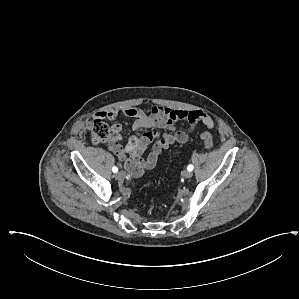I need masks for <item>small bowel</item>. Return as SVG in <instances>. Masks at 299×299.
Segmentation results:
<instances>
[{"label":"small bowel","instance_id":"small-bowel-1","mask_svg":"<svg viewBox=\"0 0 299 299\" xmlns=\"http://www.w3.org/2000/svg\"><path fill=\"white\" fill-rule=\"evenodd\" d=\"M133 120L135 135L131 136L126 145L121 144L122 125L112 126L113 137L110 150L121 160L127 172L134 176H142L147 170L155 167L160 153L174 143H185L197 123L201 122L208 128L214 127V121L202 110H180L162 106H153L149 112L130 107L118 110L99 111L97 116L108 120H116L119 114ZM185 121L186 127L176 130V124ZM153 143L146 159L142 154L146 147Z\"/></svg>","mask_w":299,"mask_h":299}]
</instances>
